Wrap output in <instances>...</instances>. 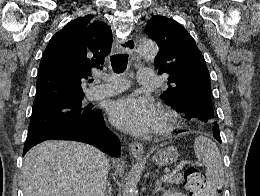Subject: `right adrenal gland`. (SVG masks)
I'll return each instance as SVG.
<instances>
[{
	"instance_id": "2a0ac1e0",
	"label": "right adrenal gland",
	"mask_w": 260,
	"mask_h": 196,
	"mask_svg": "<svg viewBox=\"0 0 260 196\" xmlns=\"http://www.w3.org/2000/svg\"><path fill=\"white\" fill-rule=\"evenodd\" d=\"M105 196H112V190H111V188H108V192H107V194H105Z\"/></svg>"
}]
</instances>
